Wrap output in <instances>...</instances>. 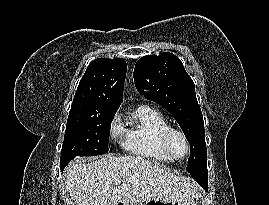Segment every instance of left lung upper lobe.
Segmentation results:
<instances>
[{"mask_svg": "<svg viewBox=\"0 0 269 205\" xmlns=\"http://www.w3.org/2000/svg\"><path fill=\"white\" fill-rule=\"evenodd\" d=\"M134 82L140 94L164 107L176 119L190 144L187 171L207 165L204 122L194 82L174 54L146 55L135 65Z\"/></svg>", "mask_w": 269, "mask_h": 205, "instance_id": "left-lung-upper-lobe-1", "label": "left lung upper lobe"}]
</instances>
